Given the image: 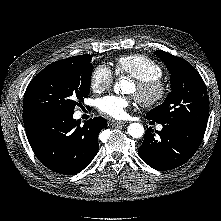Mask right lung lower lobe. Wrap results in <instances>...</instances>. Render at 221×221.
Listing matches in <instances>:
<instances>
[{
  "mask_svg": "<svg viewBox=\"0 0 221 221\" xmlns=\"http://www.w3.org/2000/svg\"><path fill=\"white\" fill-rule=\"evenodd\" d=\"M72 113L44 111L23 112V121L30 146L50 170L73 175L82 171L98 152V135L107 126L97 117L80 126Z\"/></svg>",
  "mask_w": 221,
  "mask_h": 221,
  "instance_id": "1",
  "label": "right lung lower lobe"
}]
</instances>
